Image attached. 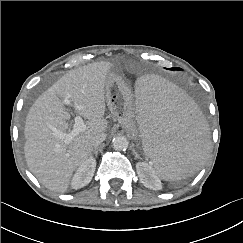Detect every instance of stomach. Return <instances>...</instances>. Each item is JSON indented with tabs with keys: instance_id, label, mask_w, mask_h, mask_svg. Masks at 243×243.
I'll use <instances>...</instances> for the list:
<instances>
[{
	"instance_id": "1",
	"label": "stomach",
	"mask_w": 243,
	"mask_h": 243,
	"mask_svg": "<svg viewBox=\"0 0 243 243\" xmlns=\"http://www.w3.org/2000/svg\"><path fill=\"white\" fill-rule=\"evenodd\" d=\"M106 100L113 117L133 135H137L133 94L126 82L113 71L107 76Z\"/></svg>"
}]
</instances>
